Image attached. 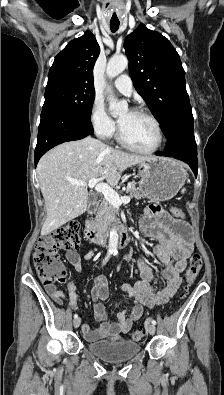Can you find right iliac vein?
Instances as JSON below:
<instances>
[{"label": "right iliac vein", "mask_w": 224, "mask_h": 395, "mask_svg": "<svg viewBox=\"0 0 224 395\" xmlns=\"http://www.w3.org/2000/svg\"><path fill=\"white\" fill-rule=\"evenodd\" d=\"M80 324H81V319L80 318H77V319H75L73 321L74 328H78L80 326Z\"/></svg>", "instance_id": "63e3f726"}]
</instances>
